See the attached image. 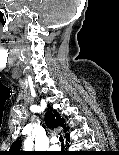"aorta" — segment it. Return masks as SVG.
Here are the masks:
<instances>
[{
    "mask_svg": "<svg viewBox=\"0 0 119 155\" xmlns=\"http://www.w3.org/2000/svg\"><path fill=\"white\" fill-rule=\"evenodd\" d=\"M33 148V140L31 137H28L24 142V149L31 150Z\"/></svg>",
    "mask_w": 119,
    "mask_h": 155,
    "instance_id": "obj_1",
    "label": "aorta"
}]
</instances>
